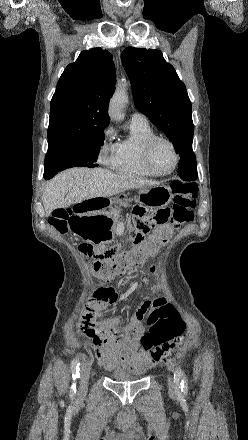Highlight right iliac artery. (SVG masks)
Returning a JSON list of instances; mask_svg holds the SVG:
<instances>
[{"mask_svg":"<svg viewBox=\"0 0 248 440\" xmlns=\"http://www.w3.org/2000/svg\"><path fill=\"white\" fill-rule=\"evenodd\" d=\"M80 362H79V358H75L72 363H71V372H72V379H73V384L71 385L70 388V397H74L76 394V383L75 381L80 377L79 374V370H80Z\"/></svg>","mask_w":248,"mask_h":440,"instance_id":"1","label":"right iliac artery"}]
</instances>
